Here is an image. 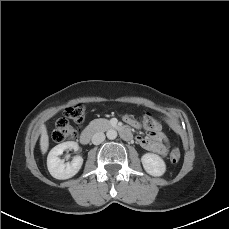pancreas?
Instances as JSON below:
<instances>
[{"instance_id": "cf45deb5", "label": "pancreas", "mask_w": 229, "mask_h": 229, "mask_svg": "<svg viewBox=\"0 0 229 229\" xmlns=\"http://www.w3.org/2000/svg\"><path fill=\"white\" fill-rule=\"evenodd\" d=\"M90 126L94 127L96 130L104 131L108 129L111 125H110L109 120L100 118V119L93 120L90 123Z\"/></svg>"}]
</instances>
